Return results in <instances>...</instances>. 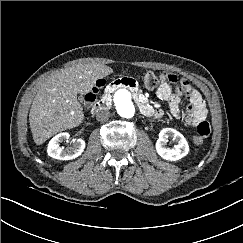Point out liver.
<instances>
[{"label":"liver","instance_id":"liver-1","mask_svg":"<svg viewBox=\"0 0 243 243\" xmlns=\"http://www.w3.org/2000/svg\"><path fill=\"white\" fill-rule=\"evenodd\" d=\"M112 72L104 64H77L42 82L29 113L34 142L41 145L54 134L79 126L84 113L77 94L90 92L98 79Z\"/></svg>","mask_w":243,"mask_h":243}]
</instances>
